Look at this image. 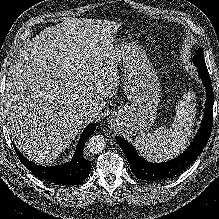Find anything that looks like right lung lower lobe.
Instances as JSON below:
<instances>
[{
	"label": "right lung lower lobe",
	"mask_w": 219,
	"mask_h": 219,
	"mask_svg": "<svg viewBox=\"0 0 219 219\" xmlns=\"http://www.w3.org/2000/svg\"><path fill=\"white\" fill-rule=\"evenodd\" d=\"M95 129V123L84 129L71 162L62 165L39 166L24 157L17 148L15 151L23 165L39 178L62 185H77L83 182L90 173L91 162L84 158L83 146Z\"/></svg>",
	"instance_id": "right-lung-lower-lobe-1"
}]
</instances>
